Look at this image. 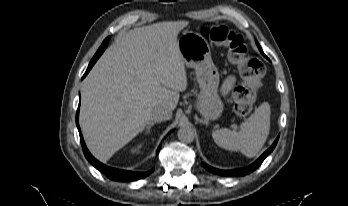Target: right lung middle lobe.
<instances>
[{
  "instance_id": "obj_1",
  "label": "right lung middle lobe",
  "mask_w": 348,
  "mask_h": 206,
  "mask_svg": "<svg viewBox=\"0 0 348 206\" xmlns=\"http://www.w3.org/2000/svg\"><path fill=\"white\" fill-rule=\"evenodd\" d=\"M110 37L106 38V40H109Z\"/></svg>"
}]
</instances>
